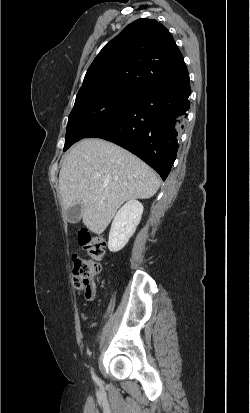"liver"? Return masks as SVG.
Here are the masks:
<instances>
[{
	"instance_id": "6515ba94",
	"label": "liver",
	"mask_w": 250,
	"mask_h": 413,
	"mask_svg": "<svg viewBox=\"0 0 250 413\" xmlns=\"http://www.w3.org/2000/svg\"><path fill=\"white\" fill-rule=\"evenodd\" d=\"M159 186L158 175L142 160L97 138L74 145L59 174L63 210L81 203L83 224L95 234L104 232L125 201L151 198Z\"/></svg>"
}]
</instances>
